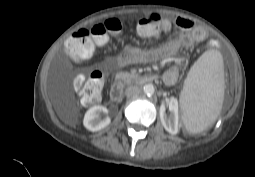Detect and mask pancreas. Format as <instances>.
Returning a JSON list of instances; mask_svg holds the SVG:
<instances>
[{
    "label": "pancreas",
    "mask_w": 255,
    "mask_h": 177,
    "mask_svg": "<svg viewBox=\"0 0 255 177\" xmlns=\"http://www.w3.org/2000/svg\"><path fill=\"white\" fill-rule=\"evenodd\" d=\"M137 75L128 72H118L115 76V79L123 82L124 84L131 83L132 80L136 79Z\"/></svg>",
    "instance_id": "obj_1"
}]
</instances>
